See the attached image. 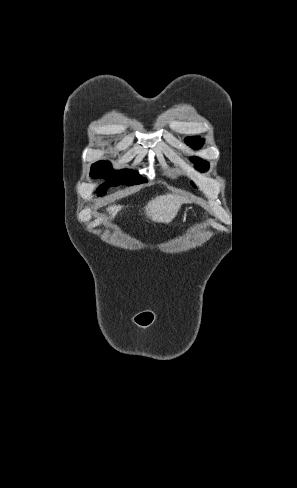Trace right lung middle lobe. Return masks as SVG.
Listing matches in <instances>:
<instances>
[{"label":"right lung middle lobe","instance_id":"1","mask_svg":"<svg viewBox=\"0 0 297 488\" xmlns=\"http://www.w3.org/2000/svg\"><path fill=\"white\" fill-rule=\"evenodd\" d=\"M111 164L107 161H98L92 165L90 176L93 178H105L106 183L102 184L97 190V196H103L111 186L118 185H136L147 182L137 171L133 170H119L113 172L111 175Z\"/></svg>","mask_w":297,"mask_h":488}]
</instances>
